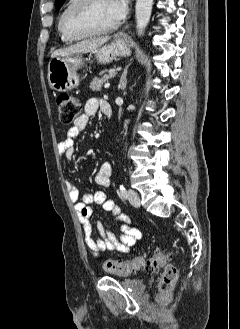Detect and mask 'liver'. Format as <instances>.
Segmentation results:
<instances>
[{"label": "liver", "instance_id": "liver-1", "mask_svg": "<svg viewBox=\"0 0 240 329\" xmlns=\"http://www.w3.org/2000/svg\"><path fill=\"white\" fill-rule=\"evenodd\" d=\"M109 39L110 37H98V38L87 39L75 45L57 49L52 53L51 57L68 56V55L79 54V53H88L98 49L100 46H102L107 41H109Z\"/></svg>", "mask_w": 240, "mask_h": 329}]
</instances>
